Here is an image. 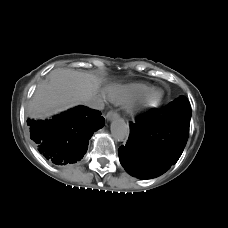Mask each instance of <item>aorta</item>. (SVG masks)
<instances>
[{
  "label": "aorta",
  "instance_id": "1",
  "mask_svg": "<svg viewBox=\"0 0 228 228\" xmlns=\"http://www.w3.org/2000/svg\"><path fill=\"white\" fill-rule=\"evenodd\" d=\"M111 134L112 137L117 141H123L129 136V128L126 122L120 118L116 117L111 123Z\"/></svg>",
  "mask_w": 228,
  "mask_h": 228
}]
</instances>
